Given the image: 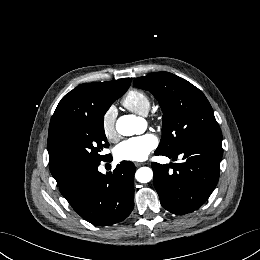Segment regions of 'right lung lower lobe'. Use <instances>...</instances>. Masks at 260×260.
Here are the masks:
<instances>
[{
	"mask_svg": "<svg viewBox=\"0 0 260 260\" xmlns=\"http://www.w3.org/2000/svg\"><path fill=\"white\" fill-rule=\"evenodd\" d=\"M99 164L71 172L59 187L82 218L108 226L123 221L134 207L135 166L122 161L104 175L98 171Z\"/></svg>",
	"mask_w": 260,
	"mask_h": 260,
	"instance_id": "1",
	"label": "right lung lower lobe"
}]
</instances>
